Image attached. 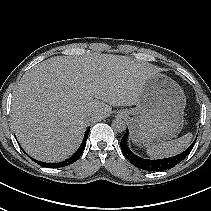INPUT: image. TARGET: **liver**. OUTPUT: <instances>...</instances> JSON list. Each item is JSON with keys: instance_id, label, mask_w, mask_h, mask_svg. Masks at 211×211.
<instances>
[{"instance_id": "liver-1", "label": "liver", "mask_w": 211, "mask_h": 211, "mask_svg": "<svg viewBox=\"0 0 211 211\" xmlns=\"http://www.w3.org/2000/svg\"><path fill=\"white\" fill-rule=\"evenodd\" d=\"M157 72L111 54L47 59L27 71L14 91L11 120L18 141L35 159L65 160L93 120L109 116L111 106L136 104Z\"/></svg>"}]
</instances>
